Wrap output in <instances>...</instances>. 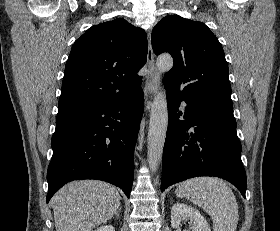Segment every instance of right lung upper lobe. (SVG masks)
<instances>
[{"mask_svg":"<svg viewBox=\"0 0 280 231\" xmlns=\"http://www.w3.org/2000/svg\"><path fill=\"white\" fill-rule=\"evenodd\" d=\"M147 51L146 33L123 18L89 28L67 60L57 118L140 91Z\"/></svg>","mask_w":280,"mask_h":231,"instance_id":"obj_1","label":"right lung upper lobe"}]
</instances>
